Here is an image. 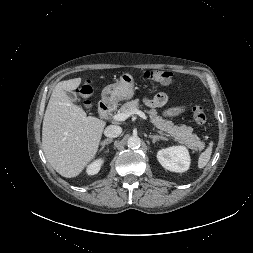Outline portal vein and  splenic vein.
Segmentation results:
<instances>
[{
    "label": "portal vein and splenic vein",
    "instance_id": "obj_1",
    "mask_svg": "<svg viewBox=\"0 0 253 253\" xmlns=\"http://www.w3.org/2000/svg\"><path fill=\"white\" fill-rule=\"evenodd\" d=\"M132 114L139 115L141 118H143L145 121H147L149 123L147 116L140 110H134L133 112L128 113V114L127 113L115 114V115H113V120H115V121H125Z\"/></svg>",
    "mask_w": 253,
    "mask_h": 253
}]
</instances>
